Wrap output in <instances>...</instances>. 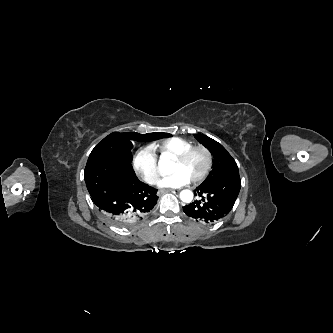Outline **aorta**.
I'll return each mask as SVG.
<instances>
[{
    "label": "aorta",
    "mask_w": 333,
    "mask_h": 333,
    "mask_svg": "<svg viewBox=\"0 0 333 333\" xmlns=\"http://www.w3.org/2000/svg\"><path fill=\"white\" fill-rule=\"evenodd\" d=\"M168 162L165 160L159 161V172L161 174H170V170L168 169ZM180 199L185 203H190L193 200V193L190 190H183L180 192Z\"/></svg>",
    "instance_id": "aorta-1"
}]
</instances>
